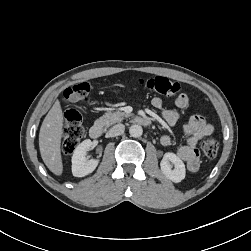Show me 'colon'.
Masks as SVG:
<instances>
[{"mask_svg":"<svg viewBox=\"0 0 251 251\" xmlns=\"http://www.w3.org/2000/svg\"><path fill=\"white\" fill-rule=\"evenodd\" d=\"M139 84L152 92L174 96L182 86L173 80L163 76H155L148 79H140ZM91 91L89 83L83 82L67 88L63 97L67 104L84 102L88 99ZM84 136V127L80 113L75 109H68L65 112V123L63 127L62 151L65 155L72 154ZM202 151L206 158L214 159L219 151V141L209 137L202 144Z\"/></svg>","mask_w":251,"mask_h":251,"instance_id":"1","label":"colon"}]
</instances>
